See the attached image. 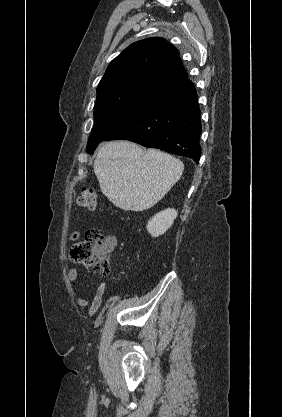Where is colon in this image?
<instances>
[{
    "label": "colon",
    "mask_w": 282,
    "mask_h": 417,
    "mask_svg": "<svg viewBox=\"0 0 282 417\" xmlns=\"http://www.w3.org/2000/svg\"><path fill=\"white\" fill-rule=\"evenodd\" d=\"M78 201L84 208L94 209L97 206V193L93 189H83ZM108 253V242L96 229H91L84 241L72 247L71 258L75 264L84 265L103 276H108L110 275Z\"/></svg>",
    "instance_id": "colon-1"
}]
</instances>
